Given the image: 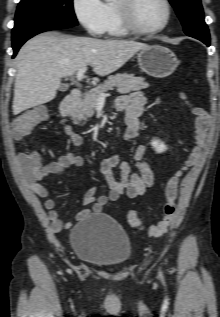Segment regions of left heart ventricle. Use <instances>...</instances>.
Listing matches in <instances>:
<instances>
[{"label":"left heart ventricle","instance_id":"left-heart-ventricle-1","mask_svg":"<svg viewBox=\"0 0 220 317\" xmlns=\"http://www.w3.org/2000/svg\"><path fill=\"white\" fill-rule=\"evenodd\" d=\"M166 16V9L161 0H137L133 9L135 23L141 29L159 27Z\"/></svg>","mask_w":220,"mask_h":317}]
</instances>
